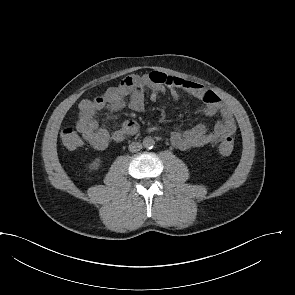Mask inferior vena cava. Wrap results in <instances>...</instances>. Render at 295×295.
I'll return each mask as SVG.
<instances>
[{"label":"inferior vena cava","instance_id":"602c4592","mask_svg":"<svg viewBox=\"0 0 295 295\" xmlns=\"http://www.w3.org/2000/svg\"><path fill=\"white\" fill-rule=\"evenodd\" d=\"M142 149V144L139 143V142H132L130 145H129V151L130 152H138Z\"/></svg>","mask_w":295,"mask_h":295}]
</instances>
